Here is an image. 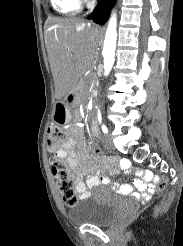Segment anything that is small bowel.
<instances>
[{
	"mask_svg": "<svg viewBox=\"0 0 183 246\" xmlns=\"http://www.w3.org/2000/svg\"><path fill=\"white\" fill-rule=\"evenodd\" d=\"M91 132L94 136H98L99 129L97 124H92ZM55 158L66 161L72 169V176L76 181V189L80 199H85L89 194L87 189L93 188L100 184L109 185L121 195H131L134 197L147 198L149 194H154L155 190L146 185H152L153 182H161L159 174H153V170H142L141 167H132V162L127 159L119 161L120 167L123 169V174H140L145 175L142 179H136L133 185L125 184L120 181L112 182L108 175H91L90 170L96 160L91 156L86 149L82 140L81 134L74 128L68 129V138L62 146L55 152ZM115 169L110 167L108 172L112 173ZM86 177V181H82V177Z\"/></svg>",
	"mask_w": 183,
	"mask_h": 246,
	"instance_id": "obj_1",
	"label": "small bowel"
}]
</instances>
